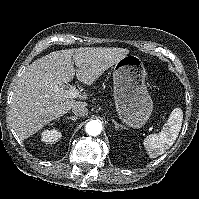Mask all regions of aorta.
<instances>
[{"mask_svg":"<svg viewBox=\"0 0 199 199\" xmlns=\"http://www.w3.org/2000/svg\"><path fill=\"white\" fill-rule=\"evenodd\" d=\"M102 124L98 120L89 121L85 126V131L91 136H97L101 133Z\"/></svg>","mask_w":199,"mask_h":199,"instance_id":"1","label":"aorta"}]
</instances>
